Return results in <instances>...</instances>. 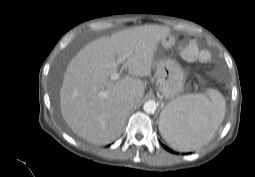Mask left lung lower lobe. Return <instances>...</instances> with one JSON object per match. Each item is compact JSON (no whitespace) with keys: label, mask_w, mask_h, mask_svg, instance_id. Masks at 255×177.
<instances>
[{"label":"left lung lower lobe","mask_w":255,"mask_h":177,"mask_svg":"<svg viewBox=\"0 0 255 177\" xmlns=\"http://www.w3.org/2000/svg\"><path fill=\"white\" fill-rule=\"evenodd\" d=\"M167 151H169V152H174L173 150H171L170 148H168V147H166V146H163Z\"/></svg>","instance_id":"1"}]
</instances>
